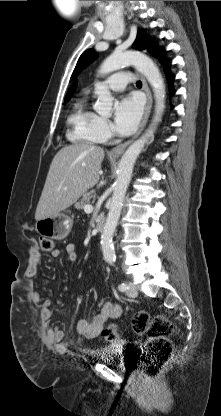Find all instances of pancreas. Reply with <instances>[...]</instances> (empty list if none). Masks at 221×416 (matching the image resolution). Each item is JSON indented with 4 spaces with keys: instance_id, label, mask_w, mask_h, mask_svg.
<instances>
[{
    "instance_id": "pancreas-1",
    "label": "pancreas",
    "mask_w": 221,
    "mask_h": 416,
    "mask_svg": "<svg viewBox=\"0 0 221 416\" xmlns=\"http://www.w3.org/2000/svg\"><path fill=\"white\" fill-rule=\"evenodd\" d=\"M95 197H96L95 190H91L87 193H84L82 199L75 204V207L77 209H84V206L89 204L90 200Z\"/></svg>"
}]
</instances>
